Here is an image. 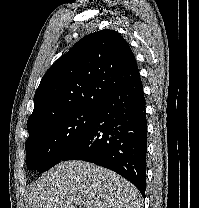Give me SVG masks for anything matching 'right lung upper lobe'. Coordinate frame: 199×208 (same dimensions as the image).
<instances>
[{"instance_id":"obj_1","label":"right lung upper lobe","mask_w":199,"mask_h":208,"mask_svg":"<svg viewBox=\"0 0 199 208\" xmlns=\"http://www.w3.org/2000/svg\"><path fill=\"white\" fill-rule=\"evenodd\" d=\"M140 78L125 39L105 29L82 38L45 73L34 96L28 131L65 112L96 107Z\"/></svg>"}]
</instances>
